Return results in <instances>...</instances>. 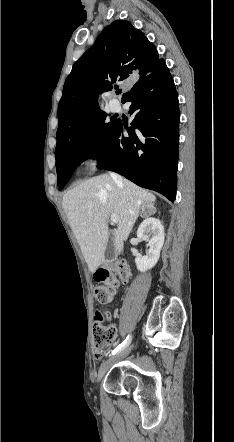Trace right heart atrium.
<instances>
[{"instance_id": "obj_1", "label": "right heart atrium", "mask_w": 234, "mask_h": 442, "mask_svg": "<svg viewBox=\"0 0 234 442\" xmlns=\"http://www.w3.org/2000/svg\"><path fill=\"white\" fill-rule=\"evenodd\" d=\"M88 146L91 148V153L87 160V165L90 169H94L97 165V159H98V151L97 148L99 147L96 137L94 135H90L88 138Z\"/></svg>"}]
</instances>
